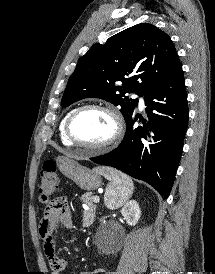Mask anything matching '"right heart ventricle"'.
Listing matches in <instances>:
<instances>
[{
    "label": "right heart ventricle",
    "instance_id": "1",
    "mask_svg": "<svg viewBox=\"0 0 215 274\" xmlns=\"http://www.w3.org/2000/svg\"><path fill=\"white\" fill-rule=\"evenodd\" d=\"M71 112L67 113L65 115V117L62 119L61 123H60V126H59V133H60V138H61V141L64 145L66 146H72L73 144L69 141V139L67 138L66 136V133H65V124H66V121H67V118L68 116L70 115Z\"/></svg>",
    "mask_w": 215,
    "mask_h": 274
}]
</instances>
